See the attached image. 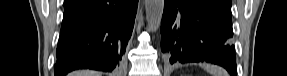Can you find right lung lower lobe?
<instances>
[{
	"label": "right lung lower lobe",
	"mask_w": 287,
	"mask_h": 76,
	"mask_svg": "<svg viewBox=\"0 0 287 76\" xmlns=\"http://www.w3.org/2000/svg\"><path fill=\"white\" fill-rule=\"evenodd\" d=\"M138 0H77L65 8L55 76L75 69L119 67L131 37Z\"/></svg>",
	"instance_id": "1"
}]
</instances>
